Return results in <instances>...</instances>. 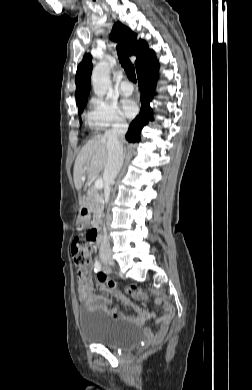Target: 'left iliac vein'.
Returning a JSON list of instances; mask_svg holds the SVG:
<instances>
[{
	"label": "left iliac vein",
	"instance_id": "left-iliac-vein-1",
	"mask_svg": "<svg viewBox=\"0 0 252 390\" xmlns=\"http://www.w3.org/2000/svg\"><path fill=\"white\" fill-rule=\"evenodd\" d=\"M105 272L107 273V272H108V270H107V269H105Z\"/></svg>",
	"mask_w": 252,
	"mask_h": 390
}]
</instances>
